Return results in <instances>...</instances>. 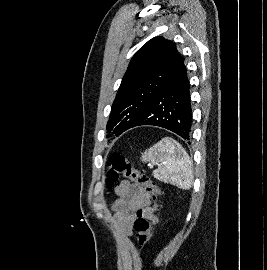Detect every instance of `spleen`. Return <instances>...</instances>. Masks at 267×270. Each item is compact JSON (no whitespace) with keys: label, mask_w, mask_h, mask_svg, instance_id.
Segmentation results:
<instances>
[{"label":"spleen","mask_w":267,"mask_h":270,"mask_svg":"<svg viewBox=\"0 0 267 270\" xmlns=\"http://www.w3.org/2000/svg\"><path fill=\"white\" fill-rule=\"evenodd\" d=\"M141 160L158 165V168L153 171L156 179L182 189L192 187L193 172L190 157L173 138H162L142 155Z\"/></svg>","instance_id":"3e777b00"}]
</instances>
